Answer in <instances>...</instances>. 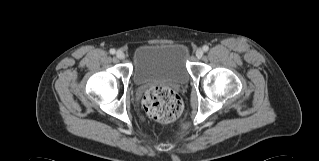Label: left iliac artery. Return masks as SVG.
Here are the masks:
<instances>
[{
    "label": "left iliac artery",
    "mask_w": 319,
    "mask_h": 161,
    "mask_svg": "<svg viewBox=\"0 0 319 161\" xmlns=\"http://www.w3.org/2000/svg\"><path fill=\"white\" fill-rule=\"evenodd\" d=\"M203 50L206 52L209 50V47L207 45L203 46Z\"/></svg>",
    "instance_id": "left-iliac-artery-1"
}]
</instances>
